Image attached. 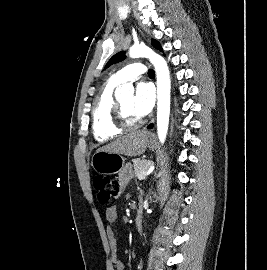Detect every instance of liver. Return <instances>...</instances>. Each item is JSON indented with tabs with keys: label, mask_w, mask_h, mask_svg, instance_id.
I'll return each instance as SVG.
<instances>
[{
	"label": "liver",
	"mask_w": 267,
	"mask_h": 270,
	"mask_svg": "<svg viewBox=\"0 0 267 270\" xmlns=\"http://www.w3.org/2000/svg\"><path fill=\"white\" fill-rule=\"evenodd\" d=\"M148 143V133L145 131H134L125 134L97 151H107L135 157L143 154Z\"/></svg>",
	"instance_id": "obj_1"
}]
</instances>
